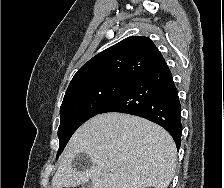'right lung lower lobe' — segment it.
Segmentation results:
<instances>
[{"mask_svg":"<svg viewBox=\"0 0 224 188\" xmlns=\"http://www.w3.org/2000/svg\"><path fill=\"white\" fill-rule=\"evenodd\" d=\"M121 112L143 117L165 128L180 147L181 104L172 74L165 60L136 77L98 114Z\"/></svg>","mask_w":224,"mask_h":188,"instance_id":"obj_1","label":"right lung lower lobe"}]
</instances>
